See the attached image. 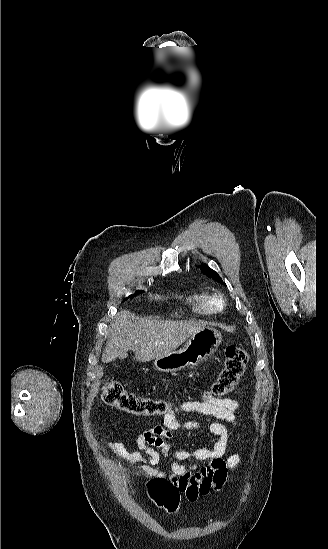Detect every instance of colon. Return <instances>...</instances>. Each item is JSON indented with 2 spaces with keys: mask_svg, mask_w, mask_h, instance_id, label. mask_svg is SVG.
Wrapping results in <instances>:
<instances>
[{
  "mask_svg": "<svg viewBox=\"0 0 328 549\" xmlns=\"http://www.w3.org/2000/svg\"><path fill=\"white\" fill-rule=\"evenodd\" d=\"M248 360L249 354L244 347L240 345L228 346L225 351L224 367L204 396L217 399L226 396L233 389ZM102 399L111 407L136 415H166L171 411L168 401L137 395L124 389L115 380H110L104 385ZM146 487L149 498L157 507L172 515L177 513L180 490L176 484L168 479L154 478L147 483Z\"/></svg>",
  "mask_w": 328,
  "mask_h": 549,
  "instance_id": "5ec220e1",
  "label": "colon"
}]
</instances>
